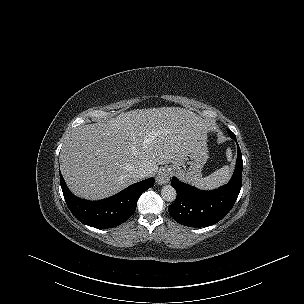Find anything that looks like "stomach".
<instances>
[{
	"instance_id": "0dacf381",
	"label": "stomach",
	"mask_w": 304,
	"mask_h": 304,
	"mask_svg": "<svg viewBox=\"0 0 304 304\" xmlns=\"http://www.w3.org/2000/svg\"><path fill=\"white\" fill-rule=\"evenodd\" d=\"M207 149L197 148L189 151L179 162L171 165V170L182 181L196 184L202 177V168L207 161Z\"/></svg>"
}]
</instances>
